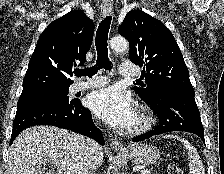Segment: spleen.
<instances>
[{
  "instance_id": "3e777b00",
  "label": "spleen",
  "mask_w": 224,
  "mask_h": 174,
  "mask_svg": "<svg viewBox=\"0 0 224 174\" xmlns=\"http://www.w3.org/2000/svg\"><path fill=\"white\" fill-rule=\"evenodd\" d=\"M166 137L174 138L173 135H166ZM180 141L184 143V146L188 151V155L190 159V162H189L190 174H205V169L197 150L190 143H188V141H185L183 139H181Z\"/></svg>"
}]
</instances>
